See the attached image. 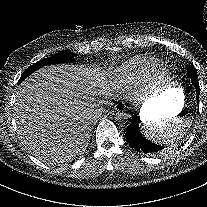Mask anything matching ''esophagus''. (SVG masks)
<instances>
[{
	"label": "esophagus",
	"instance_id": "1",
	"mask_svg": "<svg viewBox=\"0 0 207 207\" xmlns=\"http://www.w3.org/2000/svg\"><path fill=\"white\" fill-rule=\"evenodd\" d=\"M119 108H123V109L126 108L125 104H124L121 100H118V101L115 103V110L117 111Z\"/></svg>",
	"mask_w": 207,
	"mask_h": 207
}]
</instances>
